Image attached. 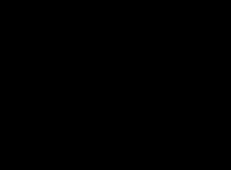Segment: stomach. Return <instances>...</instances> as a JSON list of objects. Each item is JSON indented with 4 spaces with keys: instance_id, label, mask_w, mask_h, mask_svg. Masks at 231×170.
I'll list each match as a JSON object with an SVG mask.
<instances>
[{
    "instance_id": "1",
    "label": "stomach",
    "mask_w": 231,
    "mask_h": 170,
    "mask_svg": "<svg viewBox=\"0 0 231 170\" xmlns=\"http://www.w3.org/2000/svg\"><path fill=\"white\" fill-rule=\"evenodd\" d=\"M128 45L137 57L142 69L148 75H157L162 66L155 45L145 36L140 26L136 25L132 32L127 34Z\"/></svg>"
}]
</instances>
